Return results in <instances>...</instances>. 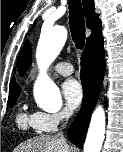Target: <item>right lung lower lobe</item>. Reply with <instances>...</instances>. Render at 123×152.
<instances>
[{"label":"right lung lower lobe","mask_w":123,"mask_h":152,"mask_svg":"<svg viewBox=\"0 0 123 152\" xmlns=\"http://www.w3.org/2000/svg\"><path fill=\"white\" fill-rule=\"evenodd\" d=\"M103 37L85 46L81 56L83 101L81 109L68 130V139L82 148L92 111L96 105L105 73Z\"/></svg>","instance_id":"obj_1"}]
</instances>
